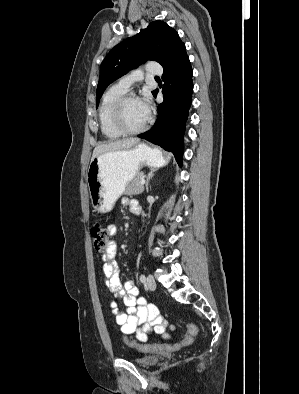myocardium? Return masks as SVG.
<instances>
[{
  "label": "myocardium",
  "instance_id": "f54148a6",
  "mask_svg": "<svg viewBox=\"0 0 299 394\" xmlns=\"http://www.w3.org/2000/svg\"><path fill=\"white\" fill-rule=\"evenodd\" d=\"M132 99H138V97L131 93H125L124 95H122L117 99V101L115 102L112 108V113H111L112 123L114 127L122 134L132 135V134L140 133L143 130H145L150 123V117L148 116L146 121L139 127L129 128L126 126L123 119V108L125 103Z\"/></svg>",
  "mask_w": 299,
  "mask_h": 394
}]
</instances>
